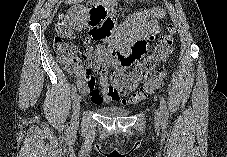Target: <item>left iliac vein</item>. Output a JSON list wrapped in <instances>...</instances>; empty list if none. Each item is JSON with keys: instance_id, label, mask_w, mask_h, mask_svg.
Returning a JSON list of instances; mask_svg holds the SVG:
<instances>
[{"instance_id": "4c4485c4", "label": "left iliac vein", "mask_w": 227, "mask_h": 157, "mask_svg": "<svg viewBox=\"0 0 227 157\" xmlns=\"http://www.w3.org/2000/svg\"><path fill=\"white\" fill-rule=\"evenodd\" d=\"M161 112L159 110L155 111V120H158L160 118Z\"/></svg>"}]
</instances>
